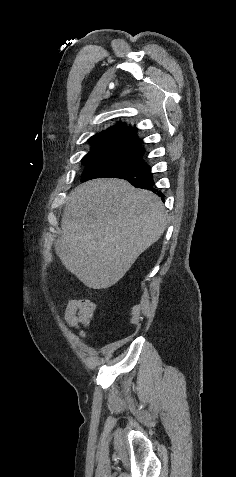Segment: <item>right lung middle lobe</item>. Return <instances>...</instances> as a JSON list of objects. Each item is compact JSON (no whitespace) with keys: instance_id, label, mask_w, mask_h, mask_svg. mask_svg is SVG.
Returning <instances> with one entry per match:
<instances>
[{"instance_id":"1","label":"right lung middle lobe","mask_w":236,"mask_h":477,"mask_svg":"<svg viewBox=\"0 0 236 477\" xmlns=\"http://www.w3.org/2000/svg\"><path fill=\"white\" fill-rule=\"evenodd\" d=\"M135 162L142 161V157H135L133 159ZM82 165L85 166V170L81 175V181H86L89 179L106 177L108 175L114 174L115 172L126 168L124 165L119 163H113L104 160H89L83 161Z\"/></svg>"}]
</instances>
